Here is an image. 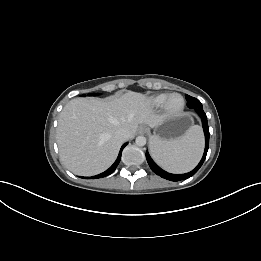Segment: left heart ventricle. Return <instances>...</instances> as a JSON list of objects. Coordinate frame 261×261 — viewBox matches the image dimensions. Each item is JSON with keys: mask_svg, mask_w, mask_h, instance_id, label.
Returning <instances> with one entry per match:
<instances>
[{"mask_svg": "<svg viewBox=\"0 0 261 261\" xmlns=\"http://www.w3.org/2000/svg\"><path fill=\"white\" fill-rule=\"evenodd\" d=\"M181 104V99L179 97H174L171 102H170V106L172 108H177L179 107Z\"/></svg>", "mask_w": 261, "mask_h": 261, "instance_id": "1", "label": "left heart ventricle"}]
</instances>
